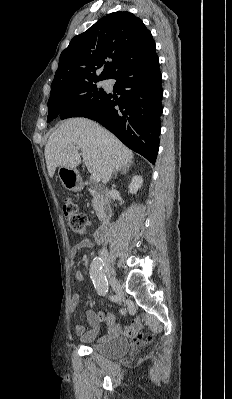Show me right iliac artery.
Masks as SVG:
<instances>
[{"label": "right iliac artery", "instance_id": "obj_1", "mask_svg": "<svg viewBox=\"0 0 232 399\" xmlns=\"http://www.w3.org/2000/svg\"><path fill=\"white\" fill-rule=\"evenodd\" d=\"M103 265V258L99 256L93 258L90 264V278L97 293L101 296H105L108 292V282L103 273ZM110 298L113 301H117L118 295L112 294Z\"/></svg>", "mask_w": 232, "mask_h": 399}]
</instances>
